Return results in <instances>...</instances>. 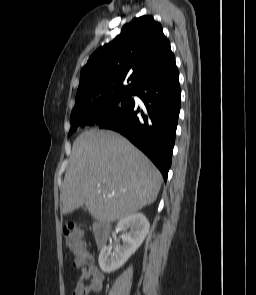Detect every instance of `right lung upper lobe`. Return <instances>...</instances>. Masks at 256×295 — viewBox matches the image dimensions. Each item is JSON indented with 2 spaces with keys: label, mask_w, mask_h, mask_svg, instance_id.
I'll use <instances>...</instances> for the list:
<instances>
[{
  "label": "right lung upper lobe",
  "mask_w": 256,
  "mask_h": 295,
  "mask_svg": "<svg viewBox=\"0 0 256 295\" xmlns=\"http://www.w3.org/2000/svg\"><path fill=\"white\" fill-rule=\"evenodd\" d=\"M173 56L162 26L152 16L133 19L115 39L89 58L80 73L76 100L134 92L151 73ZM128 77L131 83L123 85Z\"/></svg>",
  "instance_id": "right-lung-upper-lobe-1"
}]
</instances>
